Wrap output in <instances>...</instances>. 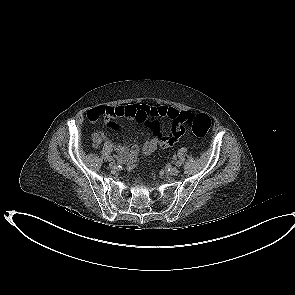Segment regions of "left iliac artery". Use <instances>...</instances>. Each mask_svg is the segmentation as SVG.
I'll return each instance as SVG.
<instances>
[{
  "label": "left iliac artery",
  "mask_w": 295,
  "mask_h": 295,
  "mask_svg": "<svg viewBox=\"0 0 295 295\" xmlns=\"http://www.w3.org/2000/svg\"><path fill=\"white\" fill-rule=\"evenodd\" d=\"M176 166H181V162L177 161Z\"/></svg>",
  "instance_id": "44dca946"
}]
</instances>
